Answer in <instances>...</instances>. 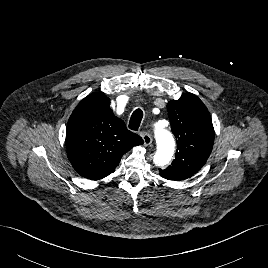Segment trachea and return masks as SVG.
I'll return each instance as SVG.
<instances>
[{"instance_id":"obj_1","label":"trachea","mask_w":268,"mask_h":268,"mask_svg":"<svg viewBox=\"0 0 268 268\" xmlns=\"http://www.w3.org/2000/svg\"><path fill=\"white\" fill-rule=\"evenodd\" d=\"M142 118H143V111L141 109H136L131 115L129 128L131 130L137 131L140 127Z\"/></svg>"}]
</instances>
